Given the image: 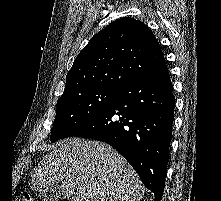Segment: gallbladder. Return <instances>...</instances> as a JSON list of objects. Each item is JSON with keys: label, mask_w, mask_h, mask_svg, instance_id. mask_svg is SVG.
<instances>
[{"label": "gallbladder", "mask_w": 221, "mask_h": 201, "mask_svg": "<svg viewBox=\"0 0 221 201\" xmlns=\"http://www.w3.org/2000/svg\"><path fill=\"white\" fill-rule=\"evenodd\" d=\"M39 197L43 201H59L64 198L63 191L56 185H48L39 190Z\"/></svg>", "instance_id": "bac80fb5"}]
</instances>
